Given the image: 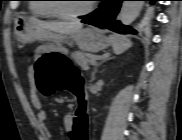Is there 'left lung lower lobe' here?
<instances>
[{
    "instance_id": "1",
    "label": "left lung lower lobe",
    "mask_w": 182,
    "mask_h": 140,
    "mask_svg": "<svg viewBox=\"0 0 182 140\" xmlns=\"http://www.w3.org/2000/svg\"><path fill=\"white\" fill-rule=\"evenodd\" d=\"M154 3L155 0H150ZM122 0H103L100 8L89 15L87 19H83L82 22L90 24L102 29H109L123 34H135L134 29L129 26H124L120 21L115 20L117 13L119 12Z\"/></svg>"
}]
</instances>
